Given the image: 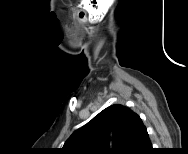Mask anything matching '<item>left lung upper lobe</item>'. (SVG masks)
I'll list each match as a JSON object with an SVG mask.
<instances>
[{
  "mask_svg": "<svg viewBox=\"0 0 188 154\" xmlns=\"http://www.w3.org/2000/svg\"><path fill=\"white\" fill-rule=\"evenodd\" d=\"M136 113L115 104L77 129L65 142L69 154H126Z\"/></svg>",
  "mask_w": 188,
  "mask_h": 154,
  "instance_id": "obj_1",
  "label": "left lung upper lobe"
}]
</instances>
